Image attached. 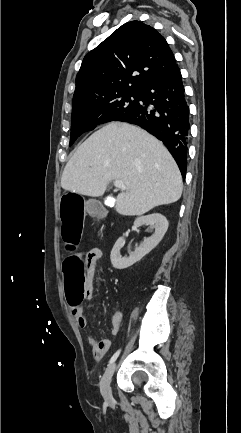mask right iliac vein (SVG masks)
Instances as JSON below:
<instances>
[{
    "mask_svg": "<svg viewBox=\"0 0 241 433\" xmlns=\"http://www.w3.org/2000/svg\"><path fill=\"white\" fill-rule=\"evenodd\" d=\"M116 369V364L113 363L111 364L108 369L105 371L102 380H101V393L104 397V399L108 402H112L113 401V394H112V390H111V380L113 377V374L115 372Z\"/></svg>",
    "mask_w": 241,
    "mask_h": 433,
    "instance_id": "1",
    "label": "right iliac vein"
}]
</instances>
